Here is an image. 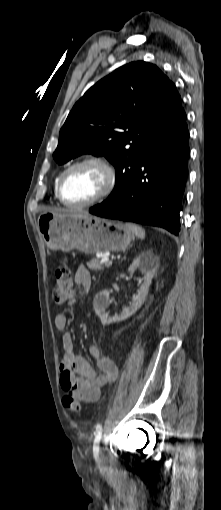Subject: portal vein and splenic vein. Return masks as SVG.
<instances>
[{
    "label": "portal vein and splenic vein",
    "instance_id": "1",
    "mask_svg": "<svg viewBox=\"0 0 221 510\" xmlns=\"http://www.w3.org/2000/svg\"><path fill=\"white\" fill-rule=\"evenodd\" d=\"M101 263H103V262L101 261ZM105 265H106V266H110V265H112V259H106V260H105Z\"/></svg>",
    "mask_w": 221,
    "mask_h": 510
}]
</instances>
